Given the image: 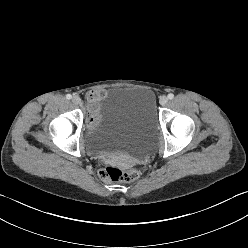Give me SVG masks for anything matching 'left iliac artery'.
<instances>
[{"label": "left iliac artery", "mask_w": 248, "mask_h": 248, "mask_svg": "<svg viewBox=\"0 0 248 248\" xmlns=\"http://www.w3.org/2000/svg\"><path fill=\"white\" fill-rule=\"evenodd\" d=\"M168 98L171 100L174 98V95L172 93L168 94Z\"/></svg>", "instance_id": "obj_1"}]
</instances>
